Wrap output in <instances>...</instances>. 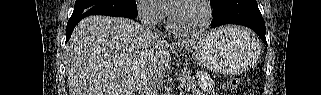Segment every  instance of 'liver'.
<instances>
[{
	"label": "liver",
	"mask_w": 321,
	"mask_h": 95,
	"mask_svg": "<svg viewBox=\"0 0 321 95\" xmlns=\"http://www.w3.org/2000/svg\"><path fill=\"white\" fill-rule=\"evenodd\" d=\"M196 42L171 46L133 20L86 17L65 48L70 95H134L145 77L156 80L170 68L169 48Z\"/></svg>",
	"instance_id": "1"
}]
</instances>
